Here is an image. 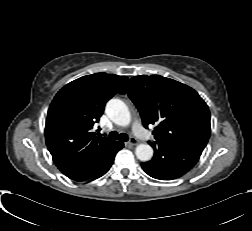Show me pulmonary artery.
Instances as JSON below:
<instances>
[{
    "mask_svg": "<svg viewBox=\"0 0 252 231\" xmlns=\"http://www.w3.org/2000/svg\"><path fill=\"white\" fill-rule=\"evenodd\" d=\"M132 130L134 134L142 140H149L150 136L148 132L143 128L139 121H134L132 124Z\"/></svg>",
    "mask_w": 252,
    "mask_h": 231,
    "instance_id": "1",
    "label": "pulmonary artery"
}]
</instances>
